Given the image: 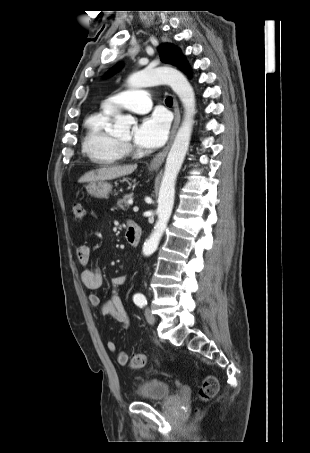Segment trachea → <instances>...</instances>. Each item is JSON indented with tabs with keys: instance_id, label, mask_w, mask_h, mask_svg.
I'll use <instances>...</instances> for the list:
<instances>
[{
	"instance_id": "3493384b",
	"label": "trachea",
	"mask_w": 310,
	"mask_h": 453,
	"mask_svg": "<svg viewBox=\"0 0 310 453\" xmlns=\"http://www.w3.org/2000/svg\"><path fill=\"white\" fill-rule=\"evenodd\" d=\"M165 103H166V105H172L173 104L172 97L166 98Z\"/></svg>"
}]
</instances>
